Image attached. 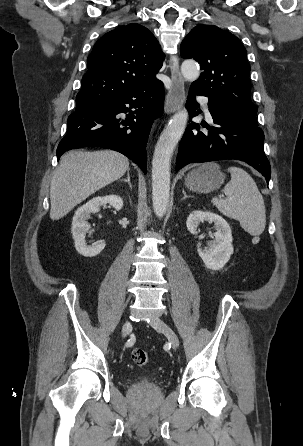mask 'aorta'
Instances as JSON below:
<instances>
[{
	"instance_id": "obj_1",
	"label": "aorta",
	"mask_w": 303,
	"mask_h": 446,
	"mask_svg": "<svg viewBox=\"0 0 303 446\" xmlns=\"http://www.w3.org/2000/svg\"><path fill=\"white\" fill-rule=\"evenodd\" d=\"M181 73L186 80L194 81L200 75L199 65L191 60L184 61ZM188 120V111H178L162 131L157 141L152 160V201L159 218L167 211L170 193V162L173 151L181 139Z\"/></svg>"
}]
</instances>
